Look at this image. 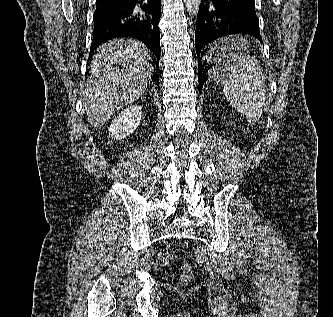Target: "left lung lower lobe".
<instances>
[{
	"instance_id": "left-lung-lower-lobe-1",
	"label": "left lung lower lobe",
	"mask_w": 333,
	"mask_h": 317,
	"mask_svg": "<svg viewBox=\"0 0 333 317\" xmlns=\"http://www.w3.org/2000/svg\"><path fill=\"white\" fill-rule=\"evenodd\" d=\"M234 34L252 35L262 42L254 0H201L195 31L200 94L211 68L226 59L219 42L211 52L206 53L203 48L220 37Z\"/></svg>"
}]
</instances>
